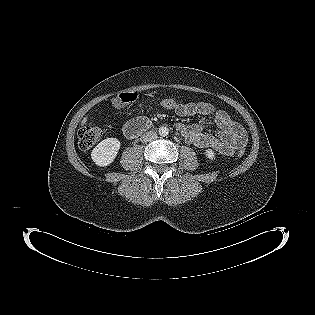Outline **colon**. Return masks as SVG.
Here are the masks:
<instances>
[{"label": "colon", "mask_w": 315, "mask_h": 315, "mask_svg": "<svg viewBox=\"0 0 315 315\" xmlns=\"http://www.w3.org/2000/svg\"><path fill=\"white\" fill-rule=\"evenodd\" d=\"M138 99V94L135 92H121L115 95L112 99V105L114 107H120L125 104H130ZM161 106L166 109L174 108L177 105V101L172 98H164L160 101ZM103 130L93 122L87 123L79 132V145L83 150L92 148L102 137ZM237 157L244 159L246 152L243 148L238 149Z\"/></svg>", "instance_id": "colon-1"}]
</instances>
